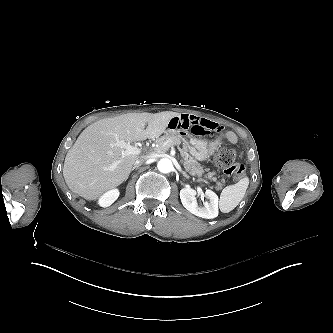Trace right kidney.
Returning <instances> with one entry per match:
<instances>
[{
    "instance_id": "ca27d5eb",
    "label": "right kidney",
    "mask_w": 333,
    "mask_h": 333,
    "mask_svg": "<svg viewBox=\"0 0 333 333\" xmlns=\"http://www.w3.org/2000/svg\"><path fill=\"white\" fill-rule=\"evenodd\" d=\"M119 197V190L112 189L104 193L98 200V204L101 207H108Z\"/></svg>"
}]
</instances>
